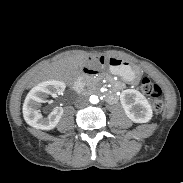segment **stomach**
<instances>
[{"label":"stomach","mask_w":183,"mask_h":183,"mask_svg":"<svg viewBox=\"0 0 183 183\" xmlns=\"http://www.w3.org/2000/svg\"><path fill=\"white\" fill-rule=\"evenodd\" d=\"M104 64L111 74L118 75L130 83H138L142 71L140 67L116 57H105Z\"/></svg>","instance_id":"0dacf381"}]
</instances>
